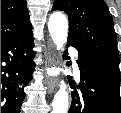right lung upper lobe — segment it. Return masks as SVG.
<instances>
[{"label": "right lung upper lobe", "mask_w": 121, "mask_h": 113, "mask_svg": "<svg viewBox=\"0 0 121 113\" xmlns=\"http://www.w3.org/2000/svg\"><path fill=\"white\" fill-rule=\"evenodd\" d=\"M32 30L26 0H1V43Z\"/></svg>", "instance_id": "right-lung-upper-lobe-1"}]
</instances>
